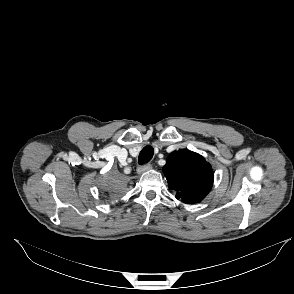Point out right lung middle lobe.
Wrapping results in <instances>:
<instances>
[{
	"instance_id": "dd1d6c3e",
	"label": "right lung middle lobe",
	"mask_w": 294,
	"mask_h": 294,
	"mask_svg": "<svg viewBox=\"0 0 294 294\" xmlns=\"http://www.w3.org/2000/svg\"><path fill=\"white\" fill-rule=\"evenodd\" d=\"M100 188L105 200L109 202L120 196L123 191V183L118 177L110 175L100 183Z\"/></svg>"
}]
</instances>
